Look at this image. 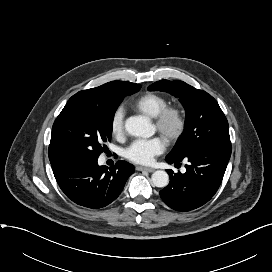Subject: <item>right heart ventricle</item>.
<instances>
[{
    "label": "right heart ventricle",
    "mask_w": 272,
    "mask_h": 272,
    "mask_svg": "<svg viewBox=\"0 0 272 272\" xmlns=\"http://www.w3.org/2000/svg\"><path fill=\"white\" fill-rule=\"evenodd\" d=\"M167 105L168 100L165 96L152 92L141 95L133 103L136 111L151 118H154Z\"/></svg>",
    "instance_id": "1"
}]
</instances>
